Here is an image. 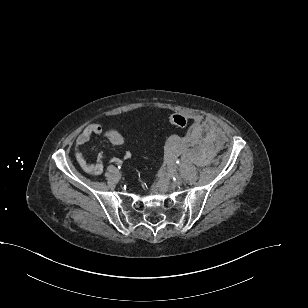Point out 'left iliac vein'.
<instances>
[{
  "label": "left iliac vein",
  "mask_w": 308,
  "mask_h": 308,
  "mask_svg": "<svg viewBox=\"0 0 308 308\" xmlns=\"http://www.w3.org/2000/svg\"><path fill=\"white\" fill-rule=\"evenodd\" d=\"M173 184H174L175 186H180V185L182 184V178H181V176L176 175V176H175V179H174V181H173Z\"/></svg>",
  "instance_id": "4c4485c4"
}]
</instances>
